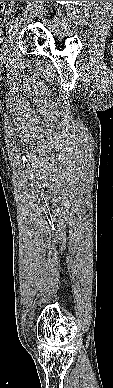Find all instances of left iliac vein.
<instances>
[{
	"mask_svg": "<svg viewBox=\"0 0 113 388\" xmlns=\"http://www.w3.org/2000/svg\"><path fill=\"white\" fill-rule=\"evenodd\" d=\"M16 34H17V25L13 26L12 31L9 33L2 48L0 49L1 56H6L10 52L11 47L16 39Z\"/></svg>",
	"mask_w": 113,
	"mask_h": 388,
	"instance_id": "left-iliac-vein-1",
	"label": "left iliac vein"
}]
</instances>
